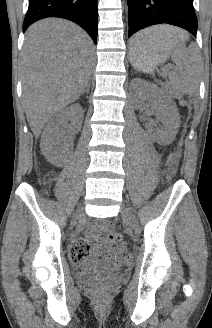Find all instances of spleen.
Masks as SVG:
<instances>
[{
  "label": "spleen",
  "mask_w": 212,
  "mask_h": 328,
  "mask_svg": "<svg viewBox=\"0 0 212 328\" xmlns=\"http://www.w3.org/2000/svg\"><path fill=\"white\" fill-rule=\"evenodd\" d=\"M185 35L170 26H155L137 33L134 37L139 42L135 50L163 48L173 44L171 51L175 69L169 72V82L174 93L192 94L199 84V71L196 60L197 49L194 43L185 47Z\"/></svg>",
  "instance_id": "1"
}]
</instances>
